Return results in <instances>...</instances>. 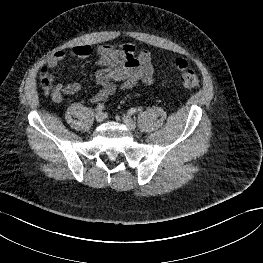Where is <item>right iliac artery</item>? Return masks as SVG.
<instances>
[{
    "instance_id": "obj_1",
    "label": "right iliac artery",
    "mask_w": 263,
    "mask_h": 263,
    "mask_svg": "<svg viewBox=\"0 0 263 263\" xmlns=\"http://www.w3.org/2000/svg\"><path fill=\"white\" fill-rule=\"evenodd\" d=\"M104 109V105L103 104H99L96 108L97 111H102Z\"/></svg>"
}]
</instances>
